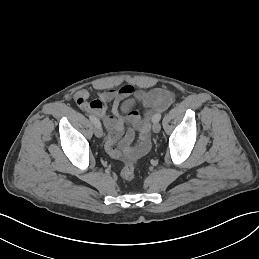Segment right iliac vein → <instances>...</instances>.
<instances>
[{
	"label": "right iliac vein",
	"mask_w": 259,
	"mask_h": 259,
	"mask_svg": "<svg viewBox=\"0 0 259 259\" xmlns=\"http://www.w3.org/2000/svg\"><path fill=\"white\" fill-rule=\"evenodd\" d=\"M94 133H95V136L98 137V138H101L102 135H103V131H102V128L101 126H95V129H94Z\"/></svg>",
	"instance_id": "63e3f726"
}]
</instances>
